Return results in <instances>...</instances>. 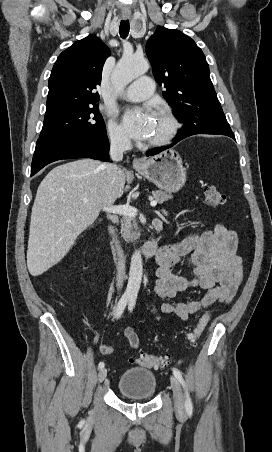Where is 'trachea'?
<instances>
[{
    "mask_svg": "<svg viewBox=\"0 0 272 452\" xmlns=\"http://www.w3.org/2000/svg\"><path fill=\"white\" fill-rule=\"evenodd\" d=\"M130 29L129 20H122L120 23V36L121 38H126L128 36Z\"/></svg>",
    "mask_w": 272,
    "mask_h": 452,
    "instance_id": "trachea-1",
    "label": "trachea"
}]
</instances>
